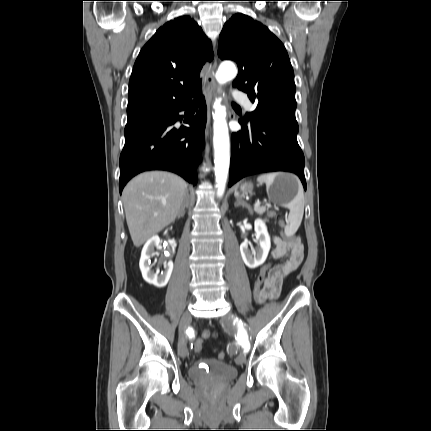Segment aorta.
<instances>
[{
  "mask_svg": "<svg viewBox=\"0 0 431 431\" xmlns=\"http://www.w3.org/2000/svg\"><path fill=\"white\" fill-rule=\"evenodd\" d=\"M237 75V69L231 62L220 64L216 79L218 83L224 84ZM214 164H215V181L218 197H222L225 191L229 164H230V142L228 126L226 122V111L221 105L220 99L214 103Z\"/></svg>",
  "mask_w": 431,
  "mask_h": 431,
  "instance_id": "aorta-1",
  "label": "aorta"
}]
</instances>
